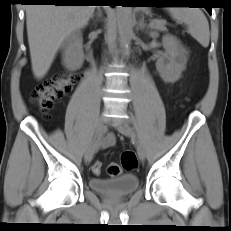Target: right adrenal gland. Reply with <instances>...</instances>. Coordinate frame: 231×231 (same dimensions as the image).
Wrapping results in <instances>:
<instances>
[{"mask_svg":"<svg viewBox=\"0 0 231 231\" xmlns=\"http://www.w3.org/2000/svg\"><path fill=\"white\" fill-rule=\"evenodd\" d=\"M94 17H96L98 19L99 18L102 19V11H101V9H100L99 6L97 7V13H96V15H93L91 18L94 19Z\"/></svg>","mask_w":231,"mask_h":231,"instance_id":"obj_1","label":"right adrenal gland"}]
</instances>
